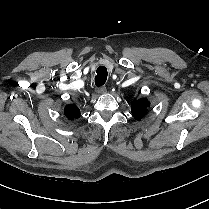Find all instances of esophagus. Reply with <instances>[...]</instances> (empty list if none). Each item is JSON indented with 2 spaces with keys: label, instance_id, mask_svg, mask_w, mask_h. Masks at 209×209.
Returning <instances> with one entry per match:
<instances>
[{
  "label": "esophagus",
  "instance_id": "1",
  "mask_svg": "<svg viewBox=\"0 0 209 209\" xmlns=\"http://www.w3.org/2000/svg\"><path fill=\"white\" fill-rule=\"evenodd\" d=\"M106 87L105 86H101V87H97L96 88V92L98 93V94H103V93H105L106 92Z\"/></svg>",
  "mask_w": 209,
  "mask_h": 209
}]
</instances>
